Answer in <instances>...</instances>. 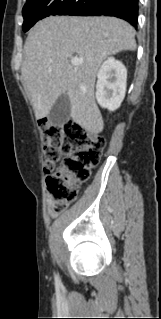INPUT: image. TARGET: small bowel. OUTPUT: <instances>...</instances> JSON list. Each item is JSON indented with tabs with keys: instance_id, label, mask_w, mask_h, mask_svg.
Here are the masks:
<instances>
[{
	"instance_id": "1",
	"label": "small bowel",
	"mask_w": 161,
	"mask_h": 319,
	"mask_svg": "<svg viewBox=\"0 0 161 319\" xmlns=\"http://www.w3.org/2000/svg\"><path fill=\"white\" fill-rule=\"evenodd\" d=\"M48 213L51 217L55 216V212L53 211V200L51 198L47 199Z\"/></svg>"
}]
</instances>
